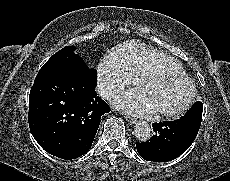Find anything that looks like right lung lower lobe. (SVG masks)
Returning <instances> with one entry per match:
<instances>
[{
	"instance_id": "1",
	"label": "right lung lower lobe",
	"mask_w": 230,
	"mask_h": 181,
	"mask_svg": "<svg viewBox=\"0 0 230 181\" xmlns=\"http://www.w3.org/2000/svg\"><path fill=\"white\" fill-rule=\"evenodd\" d=\"M89 70L37 75L29 96V127L51 155L75 159L91 148L101 116L110 107L95 91Z\"/></svg>"
}]
</instances>
